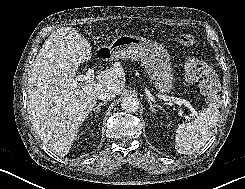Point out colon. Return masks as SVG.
Here are the masks:
<instances>
[{
	"label": "colon",
	"mask_w": 245,
	"mask_h": 189,
	"mask_svg": "<svg viewBox=\"0 0 245 189\" xmlns=\"http://www.w3.org/2000/svg\"><path fill=\"white\" fill-rule=\"evenodd\" d=\"M179 42L187 47H195L197 41L191 35H183ZM185 77L189 82H200L204 93V102L216 106L219 102L220 83L213 69L199 58H190L184 66Z\"/></svg>",
	"instance_id": "1"
}]
</instances>
